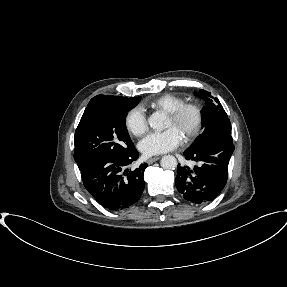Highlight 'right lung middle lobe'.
<instances>
[{"instance_id": "dd1d6c3e", "label": "right lung middle lobe", "mask_w": 287, "mask_h": 287, "mask_svg": "<svg viewBox=\"0 0 287 287\" xmlns=\"http://www.w3.org/2000/svg\"><path fill=\"white\" fill-rule=\"evenodd\" d=\"M141 97H118L104 102L75 132L74 159L79 169L102 156L127 155L135 149L125 126L127 112Z\"/></svg>"}]
</instances>
